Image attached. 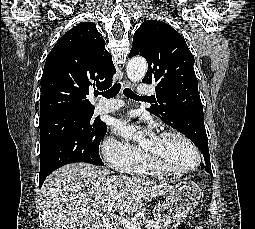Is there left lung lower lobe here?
I'll return each mask as SVG.
<instances>
[{"mask_svg": "<svg viewBox=\"0 0 255 229\" xmlns=\"http://www.w3.org/2000/svg\"><path fill=\"white\" fill-rule=\"evenodd\" d=\"M191 117H194L193 119L195 120V126L197 129L200 131L204 132L205 126H204V118H203V107L202 108H196L190 113ZM187 119V118H185ZM205 159V171L208 172L210 175H212V170H211V164H210V156L204 157ZM213 176V175H212Z\"/></svg>", "mask_w": 255, "mask_h": 229, "instance_id": "1", "label": "left lung lower lobe"}]
</instances>
